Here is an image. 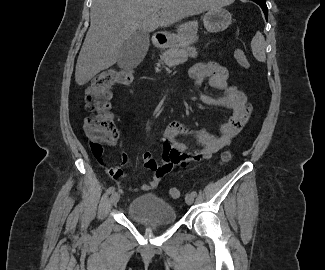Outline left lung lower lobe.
Listing matches in <instances>:
<instances>
[{
  "label": "left lung lower lobe",
  "instance_id": "0a47b994",
  "mask_svg": "<svg viewBox=\"0 0 325 270\" xmlns=\"http://www.w3.org/2000/svg\"><path fill=\"white\" fill-rule=\"evenodd\" d=\"M254 2H256L263 10L264 14H265V18L267 19L268 17V8L266 5V0H252Z\"/></svg>",
  "mask_w": 325,
  "mask_h": 270
}]
</instances>
